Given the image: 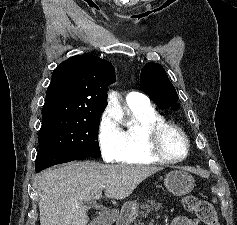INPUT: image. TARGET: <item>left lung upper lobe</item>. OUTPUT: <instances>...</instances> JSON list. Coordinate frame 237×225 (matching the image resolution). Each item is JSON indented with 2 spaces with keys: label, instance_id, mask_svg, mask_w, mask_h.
<instances>
[{
  "label": "left lung upper lobe",
  "instance_id": "obj_1",
  "mask_svg": "<svg viewBox=\"0 0 237 225\" xmlns=\"http://www.w3.org/2000/svg\"><path fill=\"white\" fill-rule=\"evenodd\" d=\"M140 87L160 107L172 106V110H178V95L168 76L160 64L147 63L140 76Z\"/></svg>",
  "mask_w": 237,
  "mask_h": 225
}]
</instances>
